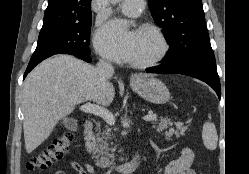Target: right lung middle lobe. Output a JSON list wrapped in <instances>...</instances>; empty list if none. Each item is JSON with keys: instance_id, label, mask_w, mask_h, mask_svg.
<instances>
[{"instance_id": "obj_1", "label": "right lung middle lobe", "mask_w": 249, "mask_h": 174, "mask_svg": "<svg viewBox=\"0 0 249 174\" xmlns=\"http://www.w3.org/2000/svg\"><path fill=\"white\" fill-rule=\"evenodd\" d=\"M91 17L84 21L42 28L30 62L54 54H91L89 49Z\"/></svg>"}]
</instances>
